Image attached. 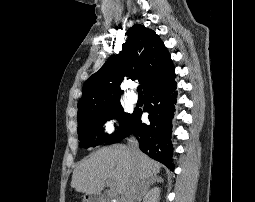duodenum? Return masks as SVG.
<instances>
[{
    "mask_svg": "<svg viewBox=\"0 0 255 202\" xmlns=\"http://www.w3.org/2000/svg\"><path fill=\"white\" fill-rule=\"evenodd\" d=\"M87 202H104V199L97 193H90L87 196Z\"/></svg>",
    "mask_w": 255,
    "mask_h": 202,
    "instance_id": "duodenum-1",
    "label": "duodenum"
}]
</instances>
